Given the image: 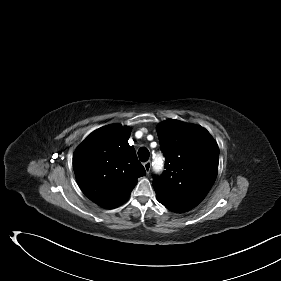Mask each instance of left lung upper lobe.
<instances>
[{"instance_id":"1","label":"left lung upper lobe","mask_w":281,"mask_h":281,"mask_svg":"<svg viewBox=\"0 0 281 281\" xmlns=\"http://www.w3.org/2000/svg\"><path fill=\"white\" fill-rule=\"evenodd\" d=\"M157 134L166 170L153 181L163 205H198L208 194L218 172L219 148L201 126L170 119L159 124Z\"/></svg>"}]
</instances>
